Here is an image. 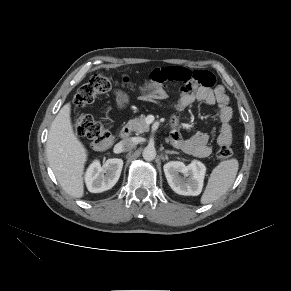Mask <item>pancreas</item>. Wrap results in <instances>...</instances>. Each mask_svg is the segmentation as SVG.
Instances as JSON below:
<instances>
[{
	"mask_svg": "<svg viewBox=\"0 0 291 291\" xmlns=\"http://www.w3.org/2000/svg\"><path fill=\"white\" fill-rule=\"evenodd\" d=\"M127 126L136 134L149 131V125L145 122V115H141L139 118L129 120Z\"/></svg>",
	"mask_w": 291,
	"mask_h": 291,
	"instance_id": "cf45deb5",
	"label": "pancreas"
}]
</instances>
